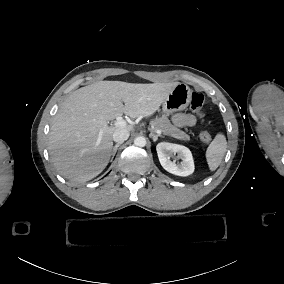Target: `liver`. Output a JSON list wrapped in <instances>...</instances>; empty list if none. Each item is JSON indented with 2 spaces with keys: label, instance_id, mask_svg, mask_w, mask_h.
Wrapping results in <instances>:
<instances>
[{
  "label": "liver",
  "instance_id": "1",
  "mask_svg": "<svg viewBox=\"0 0 284 284\" xmlns=\"http://www.w3.org/2000/svg\"><path fill=\"white\" fill-rule=\"evenodd\" d=\"M178 84L99 81L74 91L61 104L49 134L48 149L56 170L73 181L96 177L109 162L113 133L133 130L132 125L114 127L107 122L123 114L151 116Z\"/></svg>",
  "mask_w": 284,
  "mask_h": 284
}]
</instances>
